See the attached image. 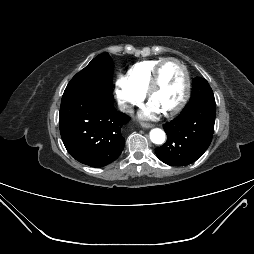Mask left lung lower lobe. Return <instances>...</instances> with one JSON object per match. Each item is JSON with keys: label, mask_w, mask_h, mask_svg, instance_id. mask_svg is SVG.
<instances>
[{"label": "left lung lower lobe", "mask_w": 254, "mask_h": 254, "mask_svg": "<svg viewBox=\"0 0 254 254\" xmlns=\"http://www.w3.org/2000/svg\"><path fill=\"white\" fill-rule=\"evenodd\" d=\"M215 114V102L189 101L175 119L163 125L168 138L155 149L157 157L170 166L195 162L211 143Z\"/></svg>", "instance_id": "1"}]
</instances>
